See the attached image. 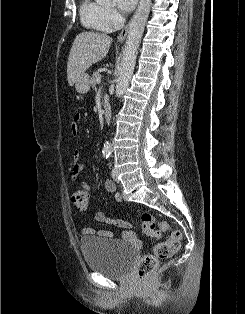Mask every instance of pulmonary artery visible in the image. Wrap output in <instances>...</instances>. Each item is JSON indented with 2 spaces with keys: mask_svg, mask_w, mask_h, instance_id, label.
Returning <instances> with one entry per match:
<instances>
[{
  "mask_svg": "<svg viewBox=\"0 0 245 314\" xmlns=\"http://www.w3.org/2000/svg\"><path fill=\"white\" fill-rule=\"evenodd\" d=\"M108 31H106V32H112L113 31V29H107Z\"/></svg>",
  "mask_w": 245,
  "mask_h": 314,
  "instance_id": "obj_1",
  "label": "pulmonary artery"
}]
</instances>
